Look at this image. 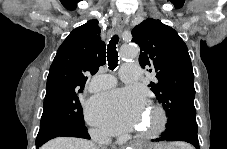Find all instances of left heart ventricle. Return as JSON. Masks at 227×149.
Listing matches in <instances>:
<instances>
[{
    "mask_svg": "<svg viewBox=\"0 0 227 149\" xmlns=\"http://www.w3.org/2000/svg\"><path fill=\"white\" fill-rule=\"evenodd\" d=\"M154 121H155V116L153 115V113L151 111L146 112L143 115V117L138 125L139 129L145 130V129L149 128L154 123Z\"/></svg>",
    "mask_w": 227,
    "mask_h": 149,
    "instance_id": "b2bd125f",
    "label": "left heart ventricle"
}]
</instances>
